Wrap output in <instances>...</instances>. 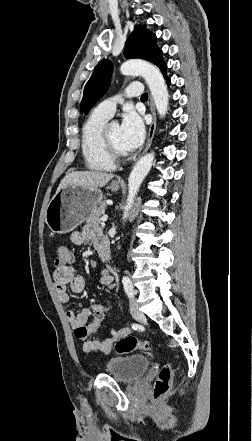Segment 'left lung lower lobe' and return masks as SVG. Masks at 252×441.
Returning <instances> with one entry per match:
<instances>
[{"label": "left lung lower lobe", "instance_id": "left-lung-lower-lobe-1", "mask_svg": "<svg viewBox=\"0 0 252 441\" xmlns=\"http://www.w3.org/2000/svg\"><path fill=\"white\" fill-rule=\"evenodd\" d=\"M156 65L160 68L161 72L164 75V78L166 79V82L168 85H170V79L166 76V69H167V65L164 63L163 59H162V55L160 56L158 62L156 63Z\"/></svg>", "mask_w": 252, "mask_h": 441}]
</instances>
